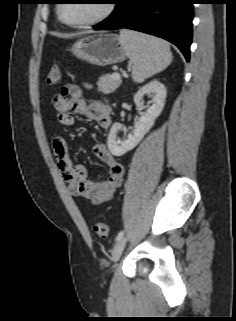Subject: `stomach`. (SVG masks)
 <instances>
[{
    "instance_id": "0dacf381",
    "label": "stomach",
    "mask_w": 236,
    "mask_h": 321,
    "mask_svg": "<svg viewBox=\"0 0 236 321\" xmlns=\"http://www.w3.org/2000/svg\"><path fill=\"white\" fill-rule=\"evenodd\" d=\"M72 52L77 58L97 66L120 63L128 56L120 37L105 32L78 39L72 46Z\"/></svg>"
}]
</instances>
